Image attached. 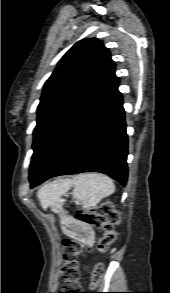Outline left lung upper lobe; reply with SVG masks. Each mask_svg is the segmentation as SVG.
Here are the masks:
<instances>
[{"label":"left lung upper lobe","mask_w":170,"mask_h":293,"mask_svg":"<svg viewBox=\"0 0 170 293\" xmlns=\"http://www.w3.org/2000/svg\"><path fill=\"white\" fill-rule=\"evenodd\" d=\"M109 50L96 38L72 46L44 85L30 175L41 174L118 84Z\"/></svg>","instance_id":"left-lung-upper-lobe-1"}]
</instances>
